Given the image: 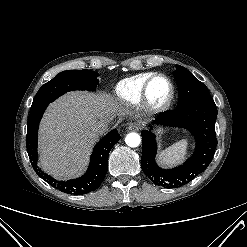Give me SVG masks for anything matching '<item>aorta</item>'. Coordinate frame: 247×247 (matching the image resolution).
Here are the masks:
<instances>
[{
  "mask_svg": "<svg viewBox=\"0 0 247 247\" xmlns=\"http://www.w3.org/2000/svg\"><path fill=\"white\" fill-rule=\"evenodd\" d=\"M125 143L129 146V147H137L140 145L141 143V137L138 133L135 132H131L129 134L126 135L125 137Z\"/></svg>",
  "mask_w": 247,
  "mask_h": 247,
  "instance_id": "762f6f07",
  "label": "aorta"
}]
</instances>
